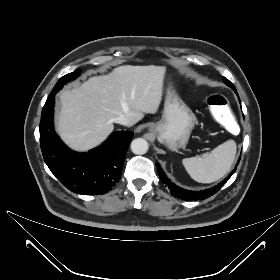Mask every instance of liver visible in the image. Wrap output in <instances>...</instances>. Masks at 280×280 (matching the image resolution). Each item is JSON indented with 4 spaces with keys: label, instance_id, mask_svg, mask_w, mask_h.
<instances>
[{
    "label": "liver",
    "instance_id": "1",
    "mask_svg": "<svg viewBox=\"0 0 280 280\" xmlns=\"http://www.w3.org/2000/svg\"><path fill=\"white\" fill-rule=\"evenodd\" d=\"M165 67L120 66L110 74L89 78L60 94L57 131L72 149L86 151L101 144L124 114L130 126L144 114H155L163 95Z\"/></svg>",
    "mask_w": 280,
    "mask_h": 280
}]
</instances>
